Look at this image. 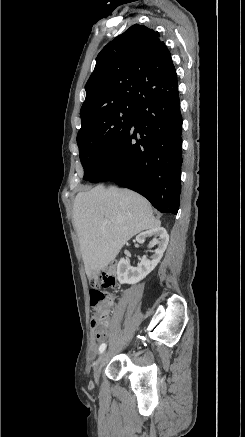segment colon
<instances>
[{"label": "colon", "instance_id": "5ec220e1", "mask_svg": "<svg viewBox=\"0 0 245 437\" xmlns=\"http://www.w3.org/2000/svg\"><path fill=\"white\" fill-rule=\"evenodd\" d=\"M115 286V264L109 265L91 277L90 304L94 308L91 322L93 323V336L97 339L106 335L107 330L104 323L109 304L106 290Z\"/></svg>", "mask_w": 245, "mask_h": 437}]
</instances>
